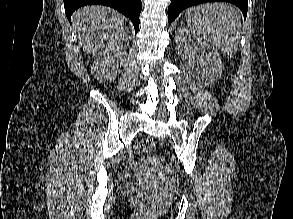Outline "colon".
Returning <instances> with one entry per match:
<instances>
[{
    "instance_id": "1",
    "label": "colon",
    "mask_w": 293,
    "mask_h": 219,
    "mask_svg": "<svg viewBox=\"0 0 293 219\" xmlns=\"http://www.w3.org/2000/svg\"><path fill=\"white\" fill-rule=\"evenodd\" d=\"M154 142L153 139L150 137H144L138 143L137 150L138 153L141 155H148L153 148ZM136 201L141 204L146 210L153 211L154 209V202L152 198L143 192H138L136 195Z\"/></svg>"
}]
</instances>
